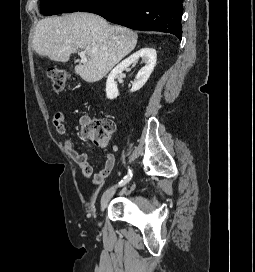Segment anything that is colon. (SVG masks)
<instances>
[{"instance_id": "colon-1", "label": "colon", "mask_w": 255, "mask_h": 272, "mask_svg": "<svg viewBox=\"0 0 255 272\" xmlns=\"http://www.w3.org/2000/svg\"><path fill=\"white\" fill-rule=\"evenodd\" d=\"M55 93L64 90L70 79V73L63 68H50L46 72ZM115 122L111 119H97L84 123L81 133L96 146L105 148L109 145L115 131Z\"/></svg>"}]
</instances>
